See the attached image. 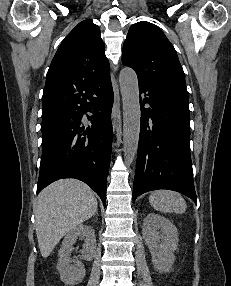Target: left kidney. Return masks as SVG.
Instances as JSON below:
<instances>
[{"mask_svg":"<svg viewBox=\"0 0 231 286\" xmlns=\"http://www.w3.org/2000/svg\"><path fill=\"white\" fill-rule=\"evenodd\" d=\"M142 233L154 268L159 272H168L175 261L174 251L179 241L177 228L165 217L150 213L144 219Z\"/></svg>","mask_w":231,"mask_h":286,"instance_id":"left-kidney-1","label":"left kidney"}]
</instances>
